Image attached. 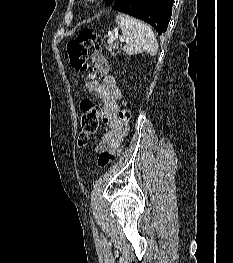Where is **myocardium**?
Returning <instances> with one entry per match:
<instances>
[{
    "label": "myocardium",
    "instance_id": "myocardium-1",
    "mask_svg": "<svg viewBox=\"0 0 233 263\" xmlns=\"http://www.w3.org/2000/svg\"><path fill=\"white\" fill-rule=\"evenodd\" d=\"M99 0H86V3L89 5H95Z\"/></svg>",
    "mask_w": 233,
    "mask_h": 263
}]
</instances>
